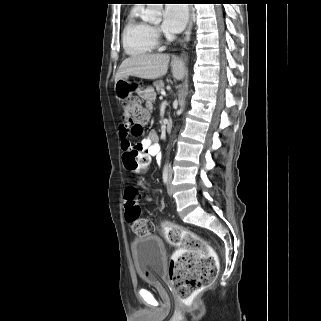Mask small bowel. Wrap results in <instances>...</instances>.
Segmentation results:
<instances>
[{"instance_id":"c3829d8e","label":"small bowel","mask_w":321,"mask_h":321,"mask_svg":"<svg viewBox=\"0 0 321 321\" xmlns=\"http://www.w3.org/2000/svg\"><path fill=\"white\" fill-rule=\"evenodd\" d=\"M144 98L147 102H151L152 97L145 93ZM130 130L126 125H121L119 128V135L121 138V149L124 152V156L133 151L138 150L146 154L149 159L150 157L157 156L159 154V145H158V134L156 131L151 130L147 135L136 145H133L129 140Z\"/></svg>"}]
</instances>
